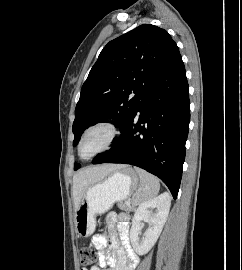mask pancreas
Returning a JSON list of instances; mask_svg holds the SVG:
<instances>
[{
    "label": "pancreas",
    "instance_id": "pancreas-1",
    "mask_svg": "<svg viewBox=\"0 0 242 270\" xmlns=\"http://www.w3.org/2000/svg\"><path fill=\"white\" fill-rule=\"evenodd\" d=\"M127 202H130V201H127ZM120 208L123 209V210H125V211H128V212L135 211V209H136L134 202H133V204H131V202H130V204L122 203L120 205Z\"/></svg>",
    "mask_w": 242,
    "mask_h": 270
}]
</instances>
